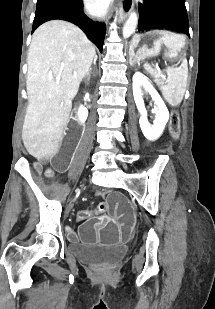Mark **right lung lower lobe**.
I'll return each instance as SVG.
<instances>
[{
	"mask_svg": "<svg viewBox=\"0 0 215 309\" xmlns=\"http://www.w3.org/2000/svg\"><path fill=\"white\" fill-rule=\"evenodd\" d=\"M54 19L66 20L78 25L87 34L90 40L95 43L99 50L102 51L106 26L90 20L84 14L83 7L75 9L49 8L38 12L35 14L32 32L44 22Z\"/></svg>",
	"mask_w": 215,
	"mask_h": 309,
	"instance_id": "98d812e1",
	"label": "right lung lower lobe"
}]
</instances>
